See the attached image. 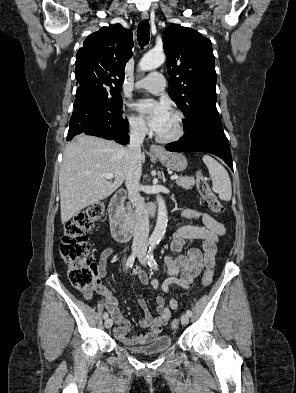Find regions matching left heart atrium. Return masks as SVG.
<instances>
[{"label": "left heart atrium", "mask_w": 296, "mask_h": 393, "mask_svg": "<svg viewBox=\"0 0 296 393\" xmlns=\"http://www.w3.org/2000/svg\"><path fill=\"white\" fill-rule=\"evenodd\" d=\"M134 108L147 119L149 126L155 132L161 130L170 115L169 108L163 101L142 99L134 105Z\"/></svg>", "instance_id": "left-heart-atrium-1"}]
</instances>
